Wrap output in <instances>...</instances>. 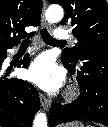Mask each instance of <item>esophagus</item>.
I'll return each instance as SVG.
<instances>
[{
  "label": "esophagus",
  "instance_id": "34e87169",
  "mask_svg": "<svg viewBox=\"0 0 108 127\" xmlns=\"http://www.w3.org/2000/svg\"><path fill=\"white\" fill-rule=\"evenodd\" d=\"M45 9H46V2L44 1V6H43V12H42V16H41V26L42 28H48L49 27V24L45 18ZM40 102H41V105L43 107L44 110H48L50 105H51V101L46 98L42 93L40 94Z\"/></svg>",
  "mask_w": 108,
  "mask_h": 127
}]
</instances>
